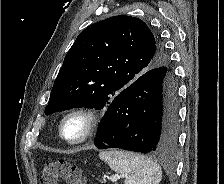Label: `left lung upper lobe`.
<instances>
[{"instance_id": "left-lung-upper-lobe-1", "label": "left lung upper lobe", "mask_w": 224, "mask_h": 184, "mask_svg": "<svg viewBox=\"0 0 224 184\" xmlns=\"http://www.w3.org/2000/svg\"><path fill=\"white\" fill-rule=\"evenodd\" d=\"M162 66L169 67L168 56L142 20L119 15L92 24L66 54L45 114L108 107L137 78Z\"/></svg>"}]
</instances>
